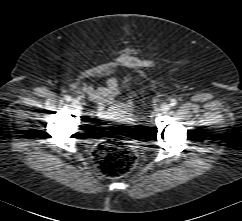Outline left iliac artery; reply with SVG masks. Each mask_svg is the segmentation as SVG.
I'll return each instance as SVG.
<instances>
[{
	"instance_id": "44dca946",
	"label": "left iliac artery",
	"mask_w": 242,
	"mask_h": 221,
	"mask_svg": "<svg viewBox=\"0 0 242 221\" xmlns=\"http://www.w3.org/2000/svg\"><path fill=\"white\" fill-rule=\"evenodd\" d=\"M177 104V101H176V99H172L171 101H170V106H175Z\"/></svg>"
}]
</instances>
